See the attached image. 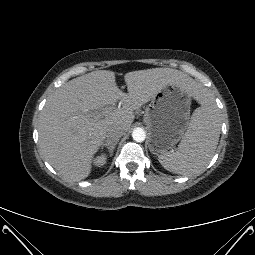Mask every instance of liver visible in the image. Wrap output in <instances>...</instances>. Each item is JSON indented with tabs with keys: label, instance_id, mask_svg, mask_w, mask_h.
Here are the masks:
<instances>
[{
	"label": "liver",
	"instance_id": "6515ba94",
	"mask_svg": "<svg viewBox=\"0 0 255 255\" xmlns=\"http://www.w3.org/2000/svg\"><path fill=\"white\" fill-rule=\"evenodd\" d=\"M124 80L127 94L119 90L114 72L93 71L63 84L47 100L39 122L40 147L46 160L65 178H87L108 128L119 126L127 132L135 118L133 111L164 86L178 83L197 99L205 93L198 82L172 68L128 72ZM118 100L122 108L109 114L100 112Z\"/></svg>",
	"mask_w": 255,
	"mask_h": 255
}]
</instances>
